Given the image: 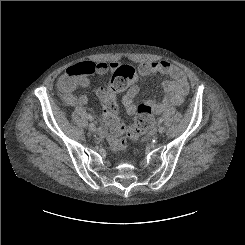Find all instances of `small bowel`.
I'll use <instances>...</instances> for the list:
<instances>
[{
  "mask_svg": "<svg viewBox=\"0 0 245 245\" xmlns=\"http://www.w3.org/2000/svg\"><path fill=\"white\" fill-rule=\"evenodd\" d=\"M94 65H95V70L93 72L94 74L109 73L111 77L108 83L97 86L94 89V93L96 97L100 99L102 102H104L105 98L110 94V85L113 77L116 76L124 68V66L117 61L97 62L94 63ZM156 73L164 74L170 77L169 80H165L162 84L163 90L165 92V97L163 98V100L158 102L154 100L147 101V103L151 105L152 110L156 114H160L165 109L171 106L180 105L188 93L189 86L184 72L178 67L169 63L168 61L165 60L146 61L138 66V75L140 76L141 80H144L149 75L156 74ZM71 75L72 74L68 69L60 77L58 81V87L62 92V99L67 105L70 106L84 105L88 102L87 96L85 95L76 96L73 93L74 88L67 91L62 87V81L67 79ZM88 83L89 80L87 76H85L84 79L82 80L81 85L86 86ZM140 94H141V90L139 84H132L128 88L126 93L123 95L122 103L124 109L128 113L130 114L135 113L137 108V103H138L137 99L140 96ZM107 134H108L107 127H101L100 135L106 136Z\"/></svg>",
  "mask_w": 245,
  "mask_h": 245,
  "instance_id": "small-bowel-1",
  "label": "small bowel"
}]
</instances>
